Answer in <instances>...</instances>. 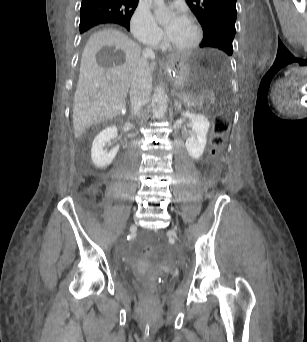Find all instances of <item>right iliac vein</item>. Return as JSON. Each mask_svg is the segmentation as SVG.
Returning a JSON list of instances; mask_svg holds the SVG:
<instances>
[{
    "mask_svg": "<svg viewBox=\"0 0 307 342\" xmlns=\"http://www.w3.org/2000/svg\"><path fill=\"white\" fill-rule=\"evenodd\" d=\"M135 227V225L134 224H131V228H134Z\"/></svg>",
    "mask_w": 307,
    "mask_h": 342,
    "instance_id": "63e3f726",
    "label": "right iliac vein"
}]
</instances>
